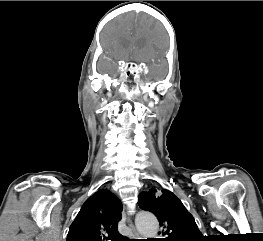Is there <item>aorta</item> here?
I'll list each match as a JSON object with an SVG mask.
<instances>
[{"label":"aorta","mask_w":263,"mask_h":241,"mask_svg":"<svg viewBox=\"0 0 263 241\" xmlns=\"http://www.w3.org/2000/svg\"><path fill=\"white\" fill-rule=\"evenodd\" d=\"M136 227L143 237L150 238L157 234L159 225L152 213L140 211L136 216Z\"/></svg>","instance_id":"1"}]
</instances>
